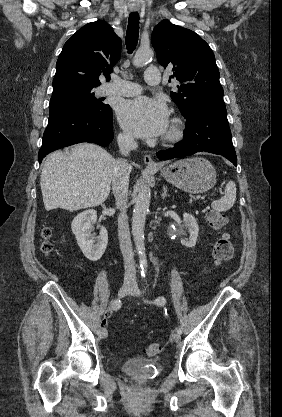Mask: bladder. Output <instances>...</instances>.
Segmentation results:
<instances>
[{
	"label": "bladder",
	"mask_w": 282,
	"mask_h": 417,
	"mask_svg": "<svg viewBox=\"0 0 282 417\" xmlns=\"http://www.w3.org/2000/svg\"><path fill=\"white\" fill-rule=\"evenodd\" d=\"M121 370L127 376L139 382H146L153 379L160 372L161 366L155 360L130 357L122 362Z\"/></svg>",
	"instance_id": "1"
}]
</instances>
